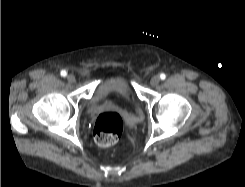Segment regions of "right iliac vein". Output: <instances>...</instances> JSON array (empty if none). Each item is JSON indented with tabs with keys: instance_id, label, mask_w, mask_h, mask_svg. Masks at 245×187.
Returning a JSON list of instances; mask_svg holds the SVG:
<instances>
[{
	"instance_id": "obj_1",
	"label": "right iliac vein",
	"mask_w": 245,
	"mask_h": 187,
	"mask_svg": "<svg viewBox=\"0 0 245 187\" xmlns=\"http://www.w3.org/2000/svg\"><path fill=\"white\" fill-rule=\"evenodd\" d=\"M67 80H68L69 83H74L76 81V78H75V76L73 74H69L67 76Z\"/></svg>"
}]
</instances>
